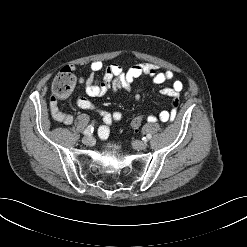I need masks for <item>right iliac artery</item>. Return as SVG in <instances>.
<instances>
[{"mask_svg": "<svg viewBox=\"0 0 247 247\" xmlns=\"http://www.w3.org/2000/svg\"><path fill=\"white\" fill-rule=\"evenodd\" d=\"M93 130H94V127L92 125H89L85 130H84V135L87 136V135H90L93 133Z\"/></svg>", "mask_w": 247, "mask_h": 247, "instance_id": "1", "label": "right iliac artery"}]
</instances>
